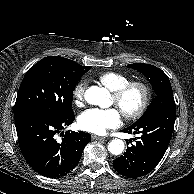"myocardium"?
<instances>
[{"mask_svg":"<svg viewBox=\"0 0 194 194\" xmlns=\"http://www.w3.org/2000/svg\"><path fill=\"white\" fill-rule=\"evenodd\" d=\"M138 88L142 92V99L137 108L131 111L122 110L120 105L126 95L129 93L130 90ZM151 87L148 83L140 80L136 81H129L128 83L122 85L118 89L112 91V97L114 99L115 105L121 110L123 116L126 119L133 120L141 117L145 111L147 110L150 100H151Z\"/></svg>","mask_w":194,"mask_h":194,"instance_id":"1","label":"myocardium"}]
</instances>
